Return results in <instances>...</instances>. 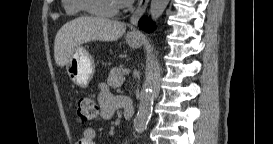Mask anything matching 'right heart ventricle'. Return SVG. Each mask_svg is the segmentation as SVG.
<instances>
[{"mask_svg":"<svg viewBox=\"0 0 273 144\" xmlns=\"http://www.w3.org/2000/svg\"><path fill=\"white\" fill-rule=\"evenodd\" d=\"M62 4L64 11L71 16L79 15L83 11L80 0H63Z\"/></svg>","mask_w":273,"mask_h":144,"instance_id":"right-heart-ventricle-1","label":"right heart ventricle"}]
</instances>
